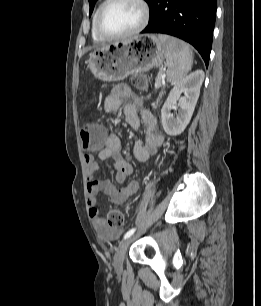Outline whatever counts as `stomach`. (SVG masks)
Instances as JSON below:
<instances>
[{
  "label": "stomach",
  "instance_id": "1",
  "mask_svg": "<svg viewBox=\"0 0 261 306\" xmlns=\"http://www.w3.org/2000/svg\"><path fill=\"white\" fill-rule=\"evenodd\" d=\"M164 53V46L156 35L144 34L96 49L90 53L87 64L95 78L121 81L134 73L161 66Z\"/></svg>",
  "mask_w": 261,
  "mask_h": 306
}]
</instances>
